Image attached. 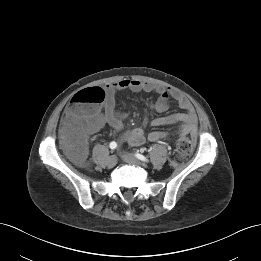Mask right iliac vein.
<instances>
[{
	"mask_svg": "<svg viewBox=\"0 0 261 261\" xmlns=\"http://www.w3.org/2000/svg\"><path fill=\"white\" fill-rule=\"evenodd\" d=\"M116 164H117V158H116V156H114V155L110 156V157L108 158V160H107V166H108L109 168H112V167H114Z\"/></svg>",
	"mask_w": 261,
	"mask_h": 261,
	"instance_id": "1",
	"label": "right iliac vein"
}]
</instances>
